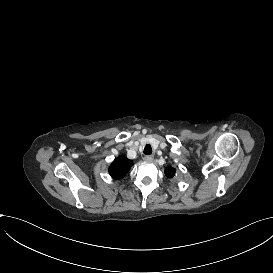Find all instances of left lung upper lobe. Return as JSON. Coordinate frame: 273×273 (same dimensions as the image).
<instances>
[{
	"label": "left lung upper lobe",
	"instance_id": "obj_1",
	"mask_svg": "<svg viewBox=\"0 0 273 273\" xmlns=\"http://www.w3.org/2000/svg\"><path fill=\"white\" fill-rule=\"evenodd\" d=\"M165 174H166V176H167L168 178L173 177V175H174V169L171 168V167H168V168L166 169V171H165Z\"/></svg>",
	"mask_w": 273,
	"mask_h": 273
}]
</instances>
